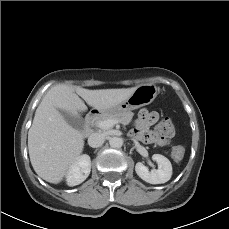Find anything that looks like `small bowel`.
I'll list each match as a JSON object with an SVG mask.
<instances>
[{
	"mask_svg": "<svg viewBox=\"0 0 229 229\" xmlns=\"http://www.w3.org/2000/svg\"><path fill=\"white\" fill-rule=\"evenodd\" d=\"M158 120L159 114L157 112L142 109L133 129V134L136 139L143 142H150L152 140V135L148 132V128L154 125ZM177 148L183 149L182 146H176L175 149Z\"/></svg>",
	"mask_w": 229,
	"mask_h": 229,
	"instance_id": "obj_1",
	"label": "small bowel"
}]
</instances>
